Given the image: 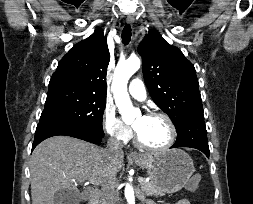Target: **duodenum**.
<instances>
[{
  "instance_id": "410a0bca",
  "label": "duodenum",
  "mask_w": 253,
  "mask_h": 204,
  "mask_svg": "<svg viewBox=\"0 0 253 204\" xmlns=\"http://www.w3.org/2000/svg\"><path fill=\"white\" fill-rule=\"evenodd\" d=\"M100 197V192L98 190H93L90 192L86 204H98Z\"/></svg>"
}]
</instances>
